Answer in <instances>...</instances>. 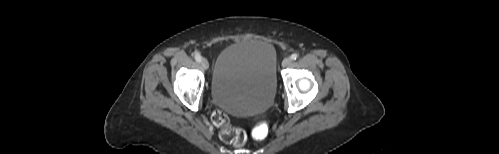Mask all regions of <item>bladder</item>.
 I'll list each match as a JSON object with an SVG mask.
<instances>
[{
  "label": "bladder",
  "instance_id": "obj_1",
  "mask_svg": "<svg viewBox=\"0 0 499 154\" xmlns=\"http://www.w3.org/2000/svg\"><path fill=\"white\" fill-rule=\"evenodd\" d=\"M276 51L261 40H243L224 48L216 60L210 94L233 115L262 113L272 105L276 88Z\"/></svg>",
  "mask_w": 499,
  "mask_h": 154
}]
</instances>
